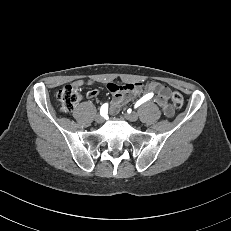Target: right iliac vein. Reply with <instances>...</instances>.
<instances>
[{
  "label": "right iliac vein",
  "instance_id": "obj_1",
  "mask_svg": "<svg viewBox=\"0 0 231 231\" xmlns=\"http://www.w3.org/2000/svg\"><path fill=\"white\" fill-rule=\"evenodd\" d=\"M95 121L97 123H102L104 121V118L101 115H96Z\"/></svg>",
  "mask_w": 231,
  "mask_h": 231
}]
</instances>
